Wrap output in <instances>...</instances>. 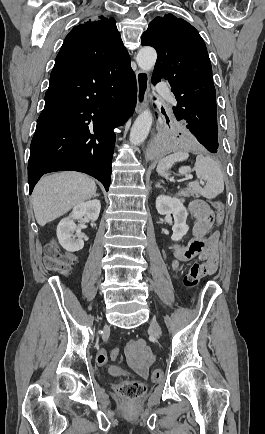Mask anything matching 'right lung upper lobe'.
I'll return each instance as SVG.
<instances>
[{
  "label": "right lung upper lobe",
  "mask_w": 265,
  "mask_h": 434,
  "mask_svg": "<svg viewBox=\"0 0 265 434\" xmlns=\"http://www.w3.org/2000/svg\"><path fill=\"white\" fill-rule=\"evenodd\" d=\"M128 58L113 18L99 16L75 26L56 57L57 65H100Z\"/></svg>",
  "instance_id": "right-lung-upper-lobe-1"
}]
</instances>
